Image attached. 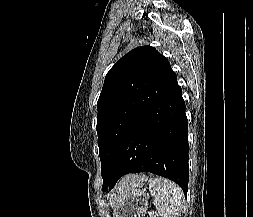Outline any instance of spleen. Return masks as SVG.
<instances>
[{"label": "spleen", "mask_w": 253, "mask_h": 217, "mask_svg": "<svg viewBox=\"0 0 253 217\" xmlns=\"http://www.w3.org/2000/svg\"><path fill=\"white\" fill-rule=\"evenodd\" d=\"M149 190L154 197L153 204L158 216L176 217L182 205V192L180 187L166 178L155 177L148 181Z\"/></svg>", "instance_id": "3e777b00"}]
</instances>
